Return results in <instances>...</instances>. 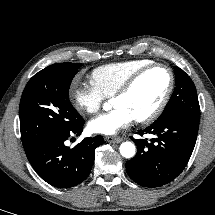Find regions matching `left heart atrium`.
<instances>
[{"instance_id":"1","label":"left heart atrium","mask_w":215,"mask_h":215,"mask_svg":"<svg viewBox=\"0 0 215 215\" xmlns=\"http://www.w3.org/2000/svg\"><path fill=\"white\" fill-rule=\"evenodd\" d=\"M135 120L131 112L124 107H116L109 113L93 118L89 130L93 133L115 135L120 130L127 128Z\"/></svg>"}]
</instances>
